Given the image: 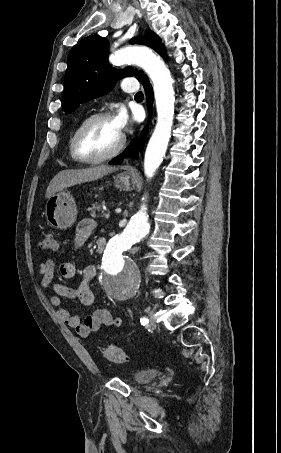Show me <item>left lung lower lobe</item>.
Masks as SVG:
<instances>
[{
	"mask_svg": "<svg viewBox=\"0 0 281 453\" xmlns=\"http://www.w3.org/2000/svg\"><path fill=\"white\" fill-rule=\"evenodd\" d=\"M160 55L163 56V57L166 56L164 48L161 51ZM142 84H143V86L145 88V91H146L147 106H148V110H149L150 115H151L152 102H153V90H152V87H151V85L149 83V80H148V78L146 76L143 78ZM145 135H146V128L143 130V132L141 134V138H140L141 141L140 142H139V140L137 138L134 139L132 141V143L126 148V150L121 155L117 156L112 161H110L109 164H113V165L121 164L123 158H125L126 156L137 158L138 154H139V150L138 149L140 148V150H142V148H143Z\"/></svg>",
	"mask_w": 281,
	"mask_h": 453,
	"instance_id": "obj_1",
	"label": "left lung lower lobe"
}]
</instances>
